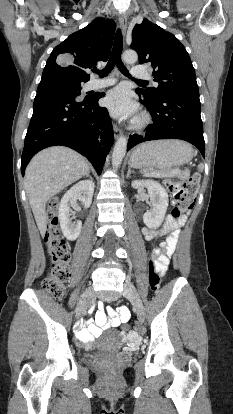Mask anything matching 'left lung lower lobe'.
Segmentation results:
<instances>
[{"label": "left lung lower lobe", "mask_w": 233, "mask_h": 414, "mask_svg": "<svg viewBox=\"0 0 233 414\" xmlns=\"http://www.w3.org/2000/svg\"><path fill=\"white\" fill-rule=\"evenodd\" d=\"M136 92L141 94L138 90ZM141 102L152 113L153 124L143 135L130 136L127 151L141 142L175 138L190 142L205 156L198 91L170 93L155 103L145 98Z\"/></svg>", "instance_id": "obj_1"}]
</instances>
